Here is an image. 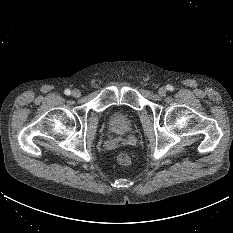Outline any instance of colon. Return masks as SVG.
Here are the masks:
<instances>
[{"label":"colon","instance_id":"5ec220e1","mask_svg":"<svg viewBox=\"0 0 233 233\" xmlns=\"http://www.w3.org/2000/svg\"><path fill=\"white\" fill-rule=\"evenodd\" d=\"M117 161L120 165H129L131 163V156L128 153L122 152L118 155Z\"/></svg>","mask_w":233,"mask_h":233}]
</instances>
